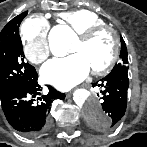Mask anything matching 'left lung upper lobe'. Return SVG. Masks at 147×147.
<instances>
[{"label": "left lung upper lobe", "mask_w": 147, "mask_h": 147, "mask_svg": "<svg viewBox=\"0 0 147 147\" xmlns=\"http://www.w3.org/2000/svg\"><path fill=\"white\" fill-rule=\"evenodd\" d=\"M121 42H122L121 52H120V59L121 60L118 64L115 65V67L113 68L111 73L118 71L122 68H128V66H127V64H128L127 48H126L125 42L123 41L122 37H121Z\"/></svg>", "instance_id": "5c2ea615"}]
</instances>
